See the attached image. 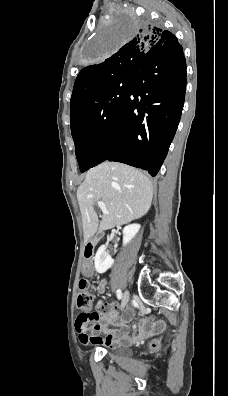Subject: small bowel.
<instances>
[{
	"label": "small bowel",
	"instance_id": "c3829d8e",
	"mask_svg": "<svg viewBox=\"0 0 228 396\" xmlns=\"http://www.w3.org/2000/svg\"><path fill=\"white\" fill-rule=\"evenodd\" d=\"M84 271L91 274L93 271L92 264L87 262L84 265ZM106 281L101 280L97 287V292L103 294L105 290ZM119 305L117 303L102 304L99 311L96 313V324L89 330L83 331L77 326L78 338L82 345H104L116 346L119 344L136 342L145 337L151 330L148 322L142 321L136 331H131L130 322L134 318V310L127 308L123 314H119ZM114 325L115 329H108V325ZM105 333L104 337L100 334Z\"/></svg>",
	"mask_w": 228,
	"mask_h": 396
}]
</instances>
